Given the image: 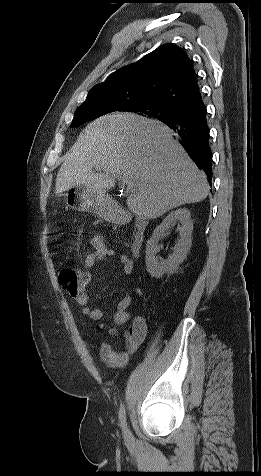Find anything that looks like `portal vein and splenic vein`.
Instances as JSON below:
<instances>
[{
	"mask_svg": "<svg viewBox=\"0 0 261 476\" xmlns=\"http://www.w3.org/2000/svg\"><path fill=\"white\" fill-rule=\"evenodd\" d=\"M120 179L123 184L127 186V190L130 191L134 187V183L129 177L126 176H120Z\"/></svg>",
	"mask_w": 261,
	"mask_h": 476,
	"instance_id": "18ae733b",
	"label": "portal vein and splenic vein"
}]
</instances>
